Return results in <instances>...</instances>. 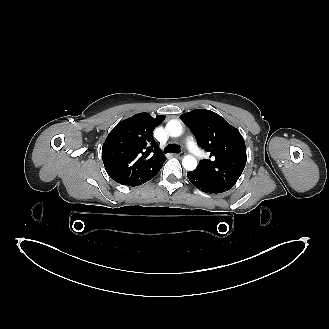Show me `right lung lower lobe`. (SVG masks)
I'll list each match as a JSON object with an SVG mask.
<instances>
[{"mask_svg": "<svg viewBox=\"0 0 329 329\" xmlns=\"http://www.w3.org/2000/svg\"><path fill=\"white\" fill-rule=\"evenodd\" d=\"M162 166V165H161ZM160 166V167H161ZM160 167H158L157 169H155L150 175H148L146 178L140 180L138 183H136L135 185H132V187L137 186V185H141L142 183H145L147 181H149L150 179H152L160 170Z\"/></svg>", "mask_w": 329, "mask_h": 329, "instance_id": "1", "label": "right lung lower lobe"}]
</instances>
